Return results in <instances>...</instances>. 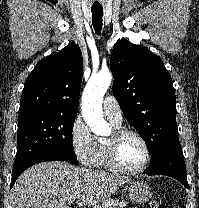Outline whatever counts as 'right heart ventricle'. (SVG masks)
I'll return each instance as SVG.
<instances>
[{"label": "right heart ventricle", "instance_id": "obj_1", "mask_svg": "<svg viewBox=\"0 0 199 208\" xmlns=\"http://www.w3.org/2000/svg\"><path fill=\"white\" fill-rule=\"evenodd\" d=\"M116 126V125H115ZM117 128L119 126H116ZM105 142L99 140L97 142V153L95 156V161H94V166L99 167V168H110L112 169L113 167L109 164L106 156V150H105Z\"/></svg>", "mask_w": 199, "mask_h": 208}]
</instances>
